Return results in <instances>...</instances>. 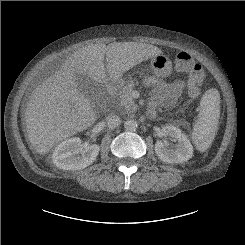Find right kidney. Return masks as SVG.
<instances>
[{
  "instance_id": "obj_1",
  "label": "right kidney",
  "mask_w": 245,
  "mask_h": 245,
  "mask_svg": "<svg viewBox=\"0 0 245 245\" xmlns=\"http://www.w3.org/2000/svg\"><path fill=\"white\" fill-rule=\"evenodd\" d=\"M81 139L69 138L58 144L52 154V161L59 169L80 170L91 165L97 158L100 147L92 144L80 150Z\"/></svg>"
}]
</instances>
